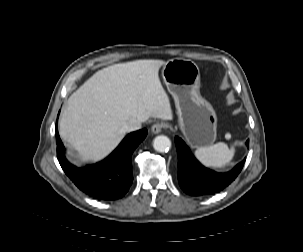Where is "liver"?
Masks as SVG:
<instances>
[{
    "label": "liver",
    "instance_id": "obj_1",
    "mask_svg": "<svg viewBox=\"0 0 303 252\" xmlns=\"http://www.w3.org/2000/svg\"><path fill=\"white\" fill-rule=\"evenodd\" d=\"M163 60H136L96 72L68 99L59 134L81 161H97L123 139V127L137 119H172L158 72Z\"/></svg>",
    "mask_w": 303,
    "mask_h": 252
}]
</instances>
